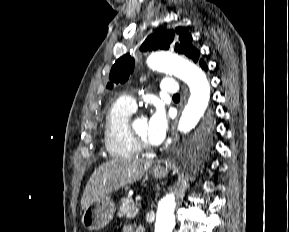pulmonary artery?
<instances>
[{"label":"pulmonary artery","mask_w":289,"mask_h":232,"mask_svg":"<svg viewBox=\"0 0 289 232\" xmlns=\"http://www.w3.org/2000/svg\"><path fill=\"white\" fill-rule=\"evenodd\" d=\"M160 89L162 92L166 94H177L179 91L178 83L172 78H165L160 83ZM122 101H124L130 108L133 110L136 109V101L134 97L126 95L121 97Z\"/></svg>","instance_id":"obj_1"}]
</instances>
